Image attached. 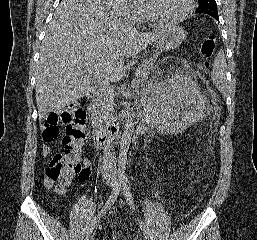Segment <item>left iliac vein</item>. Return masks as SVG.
<instances>
[{"label":"left iliac vein","mask_w":257,"mask_h":240,"mask_svg":"<svg viewBox=\"0 0 257 240\" xmlns=\"http://www.w3.org/2000/svg\"><path fill=\"white\" fill-rule=\"evenodd\" d=\"M119 190H121V185L119 184Z\"/></svg>","instance_id":"1"}]
</instances>
